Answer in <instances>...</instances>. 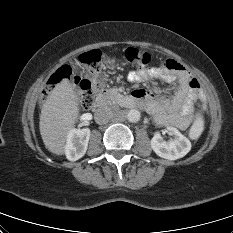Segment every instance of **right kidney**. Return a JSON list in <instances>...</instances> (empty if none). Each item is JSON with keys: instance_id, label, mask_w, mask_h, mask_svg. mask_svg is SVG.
Listing matches in <instances>:
<instances>
[{"instance_id": "right-kidney-1", "label": "right kidney", "mask_w": 233, "mask_h": 233, "mask_svg": "<svg viewBox=\"0 0 233 233\" xmlns=\"http://www.w3.org/2000/svg\"><path fill=\"white\" fill-rule=\"evenodd\" d=\"M90 139V130L71 129L67 136L65 154L68 160L76 161L84 156Z\"/></svg>"}]
</instances>
